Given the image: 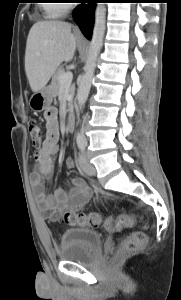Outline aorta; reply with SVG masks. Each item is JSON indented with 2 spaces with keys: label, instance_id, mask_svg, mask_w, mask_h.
<instances>
[{
  "label": "aorta",
  "instance_id": "1",
  "mask_svg": "<svg viewBox=\"0 0 181 300\" xmlns=\"http://www.w3.org/2000/svg\"><path fill=\"white\" fill-rule=\"evenodd\" d=\"M106 29V7L105 3H97L95 9V22L93 34L89 46V52L84 67V74L81 78L77 91L78 107L82 109L88 99L94 72L96 68V61L103 46V39ZM81 133L77 134V138H82Z\"/></svg>",
  "mask_w": 181,
  "mask_h": 300
}]
</instances>
